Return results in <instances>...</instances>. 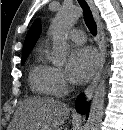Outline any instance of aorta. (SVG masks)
Wrapping results in <instances>:
<instances>
[{
	"label": "aorta",
	"instance_id": "1",
	"mask_svg": "<svg viewBox=\"0 0 123 130\" xmlns=\"http://www.w3.org/2000/svg\"><path fill=\"white\" fill-rule=\"evenodd\" d=\"M81 15V10L76 6H64L57 12L51 25L53 41L51 61L54 65H64L68 53L67 32ZM105 76L106 72L94 88L86 130H100L106 95Z\"/></svg>",
	"mask_w": 123,
	"mask_h": 130
}]
</instances>
